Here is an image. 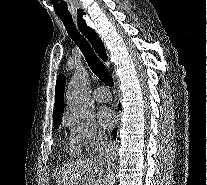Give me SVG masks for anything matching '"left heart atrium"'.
<instances>
[{"mask_svg": "<svg viewBox=\"0 0 207 185\" xmlns=\"http://www.w3.org/2000/svg\"><path fill=\"white\" fill-rule=\"evenodd\" d=\"M99 120L105 128L111 127L116 121V113L110 108L104 107L99 111Z\"/></svg>", "mask_w": 207, "mask_h": 185, "instance_id": "left-heart-atrium-1", "label": "left heart atrium"}]
</instances>
